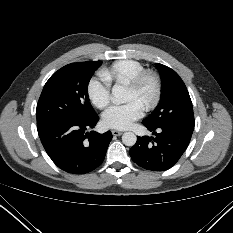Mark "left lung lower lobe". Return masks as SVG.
<instances>
[{
    "label": "left lung lower lobe",
    "instance_id": "0a47b994",
    "mask_svg": "<svg viewBox=\"0 0 233 233\" xmlns=\"http://www.w3.org/2000/svg\"><path fill=\"white\" fill-rule=\"evenodd\" d=\"M153 131L156 138L138 137L130 149L132 160L140 167L151 171H165L174 166L187 149L193 127L184 125H168L154 128L145 125Z\"/></svg>",
    "mask_w": 233,
    "mask_h": 233
}]
</instances>
